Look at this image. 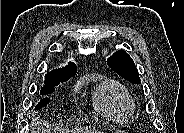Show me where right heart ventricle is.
Returning <instances> with one entry per match:
<instances>
[{"label": "right heart ventricle", "mask_w": 184, "mask_h": 133, "mask_svg": "<svg viewBox=\"0 0 184 133\" xmlns=\"http://www.w3.org/2000/svg\"><path fill=\"white\" fill-rule=\"evenodd\" d=\"M93 104L99 113L114 121L125 120L133 110L128 91L118 82L109 79H103L97 85Z\"/></svg>", "instance_id": "right-heart-ventricle-1"}]
</instances>
